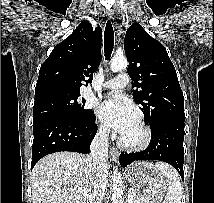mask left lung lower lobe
Segmentation results:
<instances>
[{
  "label": "left lung lower lobe",
  "instance_id": "obj_1",
  "mask_svg": "<svg viewBox=\"0 0 214 203\" xmlns=\"http://www.w3.org/2000/svg\"><path fill=\"white\" fill-rule=\"evenodd\" d=\"M151 134L150 144L144 151L120 154L121 166L126 167L138 160H160L172 165L183 179L184 119H163L151 128Z\"/></svg>",
  "mask_w": 214,
  "mask_h": 203
}]
</instances>
